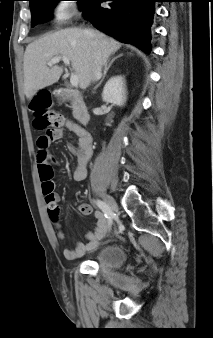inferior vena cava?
Instances as JSON below:
<instances>
[{
  "label": "inferior vena cava",
  "instance_id": "inferior-vena-cava-1",
  "mask_svg": "<svg viewBox=\"0 0 213 338\" xmlns=\"http://www.w3.org/2000/svg\"><path fill=\"white\" fill-rule=\"evenodd\" d=\"M105 65V60L101 57L99 50L95 53L94 65H93V77L92 81L95 82L101 77L102 66Z\"/></svg>",
  "mask_w": 213,
  "mask_h": 338
}]
</instances>
